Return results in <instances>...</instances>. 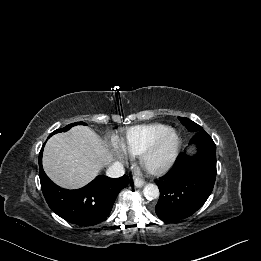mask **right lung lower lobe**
Listing matches in <instances>:
<instances>
[{
	"instance_id": "98d812e1",
	"label": "right lung lower lobe",
	"mask_w": 261,
	"mask_h": 261,
	"mask_svg": "<svg viewBox=\"0 0 261 261\" xmlns=\"http://www.w3.org/2000/svg\"><path fill=\"white\" fill-rule=\"evenodd\" d=\"M42 152L43 147L39 153V177L49 207L68 222L80 226L95 225L105 220L117 195L128 185V176L113 179L99 175L83 188L66 190L50 181L43 171Z\"/></svg>"
}]
</instances>
